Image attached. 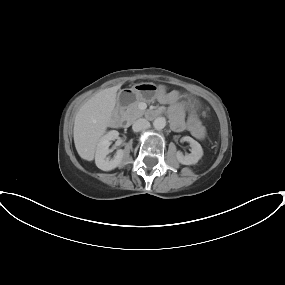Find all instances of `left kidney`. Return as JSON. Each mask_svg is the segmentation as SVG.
<instances>
[{
	"label": "left kidney",
	"mask_w": 285,
	"mask_h": 285,
	"mask_svg": "<svg viewBox=\"0 0 285 285\" xmlns=\"http://www.w3.org/2000/svg\"><path fill=\"white\" fill-rule=\"evenodd\" d=\"M182 141H186L191 146V153L183 155L181 152H177V160L183 165H193L196 164L203 156V149L201 145L189 136L182 138Z\"/></svg>",
	"instance_id": "obj_1"
}]
</instances>
